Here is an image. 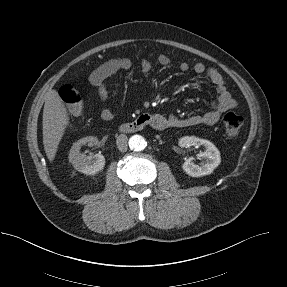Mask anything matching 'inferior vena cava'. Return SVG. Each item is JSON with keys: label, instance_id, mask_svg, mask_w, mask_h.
I'll list each match as a JSON object with an SVG mask.
<instances>
[{"label": "inferior vena cava", "instance_id": "obj_1", "mask_svg": "<svg viewBox=\"0 0 287 287\" xmlns=\"http://www.w3.org/2000/svg\"><path fill=\"white\" fill-rule=\"evenodd\" d=\"M117 148L121 152H126L128 149V137L125 134H121L116 140Z\"/></svg>", "mask_w": 287, "mask_h": 287}]
</instances>
